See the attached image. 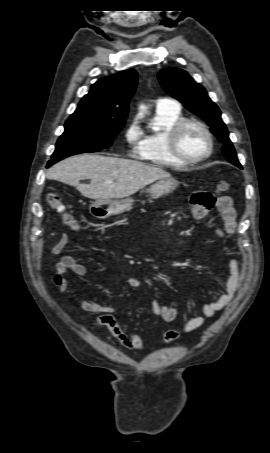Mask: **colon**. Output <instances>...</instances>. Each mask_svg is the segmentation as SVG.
I'll return each instance as SVG.
<instances>
[{
	"label": "colon",
	"instance_id": "colon-1",
	"mask_svg": "<svg viewBox=\"0 0 270 453\" xmlns=\"http://www.w3.org/2000/svg\"><path fill=\"white\" fill-rule=\"evenodd\" d=\"M230 184L225 181H220L216 184L215 186V192L217 194H222L225 193L229 190ZM194 196L195 201H197L199 204L203 205L206 209H211L215 203L214 197L206 192H198ZM47 202L49 206L56 211L62 223L70 228L73 231H79L81 230L82 226L79 222V220L72 215L70 212L66 210V207L61 199V197L57 194H48L47 195ZM59 280V277H55V282L57 283Z\"/></svg>",
	"mask_w": 270,
	"mask_h": 453
}]
</instances>
